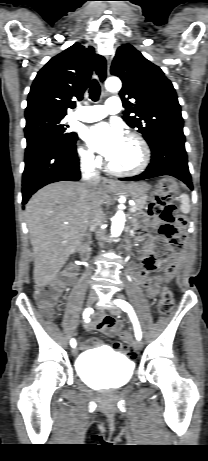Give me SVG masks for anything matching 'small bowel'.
<instances>
[{"mask_svg":"<svg viewBox=\"0 0 208 461\" xmlns=\"http://www.w3.org/2000/svg\"><path fill=\"white\" fill-rule=\"evenodd\" d=\"M150 214L149 209H140L138 219V226L135 232L137 239H143L146 235L147 229L154 226L156 234H151V242L147 245V248L143 254V265L144 268L139 272L140 283L147 287V294L153 297L157 294L160 282L153 281L149 272L159 266L157 256L168 250L170 246L173 248V258H168L169 266H178L179 258L175 256H183L184 248H177L181 245V242H185L186 235L183 229H179L178 225H156L158 222L154 219L147 218ZM78 263H67L66 268L68 271H77ZM73 279L71 274H60L59 280L61 282H70ZM89 328H96L99 331L105 333L111 337L110 350L120 354L123 351L122 341H131V336L128 332L120 331L121 323L115 320L109 315L98 317L93 320L89 325ZM119 333L120 337H114ZM103 346L102 340L98 338H92L87 341L81 342L80 349L87 350L89 348Z\"/></svg>","mask_w":208,"mask_h":461,"instance_id":"1","label":"small bowel"}]
</instances>
